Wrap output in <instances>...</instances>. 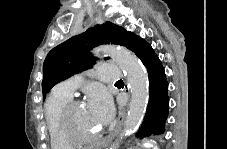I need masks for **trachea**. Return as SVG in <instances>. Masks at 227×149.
Listing matches in <instances>:
<instances>
[{"label": "trachea", "instance_id": "trachea-1", "mask_svg": "<svg viewBox=\"0 0 227 149\" xmlns=\"http://www.w3.org/2000/svg\"><path fill=\"white\" fill-rule=\"evenodd\" d=\"M121 82H123V80H118L116 83H121Z\"/></svg>", "mask_w": 227, "mask_h": 149}]
</instances>
